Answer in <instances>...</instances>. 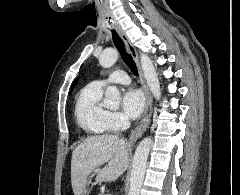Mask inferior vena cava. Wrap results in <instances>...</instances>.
Listing matches in <instances>:
<instances>
[{
  "instance_id": "1",
  "label": "inferior vena cava",
  "mask_w": 240,
  "mask_h": 195,
  "mask_svg": "<svg viewBox=\"0 0 240 195\" xmlns=\"http://www.w3.org/2000/svg\"><path fill=\"white\" fill-rule=\"evenodd\" d=\"M131 123L128 119V117H124V119H122V123H121V129H128V127H130Z\"/></svg>"
}]
</instances>
